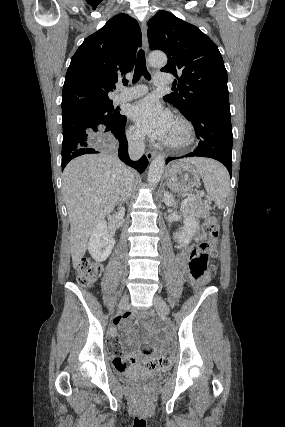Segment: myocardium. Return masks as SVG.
<instances>
[{
    "label": "myocardium",
    "mask_w": 285,
    "mask_h": 427,
    "mask_svg": "<svg viewBox=\"0 0 285 427\" xmlns=\"http://www.w3.org/2000/svg\"><path fill=\"white\" fill-rule=\"evenodd\" d=\"M174 121H176L177 123H179L182 126V128L184 130V138L179 142H173V141L165 140L164 145L166 147H168L170 149H174V150L185 149L188 146H190L195 140L194 128H193L192 124L190 123V121H188L184 117L177 116L174 119Z\"/></svg>",
    "instance_id": "obj_1"
}]
</instances>
